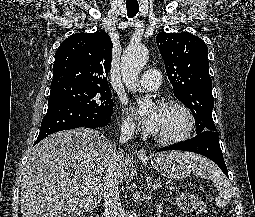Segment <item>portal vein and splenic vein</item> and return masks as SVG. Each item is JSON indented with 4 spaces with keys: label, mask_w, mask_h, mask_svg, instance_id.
<instances>
[{
    "label": "portal vein and splenic vein",
    "mask_w": 255,
    "mask_h": 217,
    "mask_svg": "<svg viewBox=\"0 0 255 217\" xmlns=\"http://www.w3.org/2000/svg\"><path fill=\"white\" fill-rule=\"evenodd\" d=\"M159 187H161L159 184H155V185H153V189H157V188H159ZM168 189H170V190H175V189H178L177 187H167Z\"/></svg>",
    "instance_id": "1"
}]
</instances>
